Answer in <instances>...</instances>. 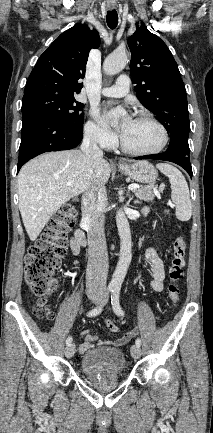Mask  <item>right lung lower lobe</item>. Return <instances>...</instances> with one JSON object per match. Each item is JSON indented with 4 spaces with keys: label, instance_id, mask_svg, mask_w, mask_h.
I'll list each match as a JSON object with an SVG mask.
<instances>
[{
    "label": "right lung lower lobe",
    "instance_id": "98d812e1",
    "mask_svg": "<svg viewBox=\"0 0 213 433\" xmlns=\"http://www.w3.org/2000/svg\"><path fill=\"white\" fill-rule=\"evenodd\" d=\"M82 138V131L73 129L50 115L36 110L23 111L17 172L31 158L48 151L72 149Z\"/></svg>",
    "mask_w": 213,
    "mask_h": 433
}]
</instances>
